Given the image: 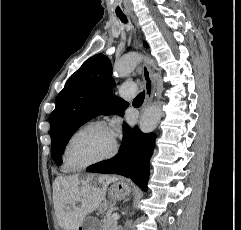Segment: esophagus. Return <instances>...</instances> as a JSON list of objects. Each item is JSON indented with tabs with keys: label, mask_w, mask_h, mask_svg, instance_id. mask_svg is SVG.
<instances>
[{
	"label": "esophagus",
	"mask_w": 241,
	"mask_h": 230,
	"mask_svg": "<svg viewBox=\"0 0 241 230\" xmlns=\"http://www.w3.org/2000/svg\"><path fill=\"white\" fill-rule=\"evenodd\" d=\"M131 18L134 21L136 27L139 28L136 17L133 14H131ZM140 69H141L143 80L145 83V100L142 106V111H143L146 107H148L152 103L155 90H156V82L153 77V71L151 70L150 66L147 63H144Z\"/></svg>",
	"instance_id": "1"
}]
</instances>
